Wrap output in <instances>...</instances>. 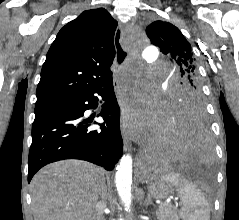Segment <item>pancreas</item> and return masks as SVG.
Listing matches in <instances>:
<instances>
[{
	"label": "pancreas",
	"mask_w": 239,
	"mask_h": 220,
	"mask_svg": "<svg viewBox=\"0 0 239 220\" xmlns=\"http://www.w3.org/2000/svg\"><path fill=\"white\" fill-rule=\"evenodd\" d=\"M156 217L158 220H179L176 209L167 204L159 207Z\"/></svg>",
	"instance_id": "obj_1"
}]
</instances>
